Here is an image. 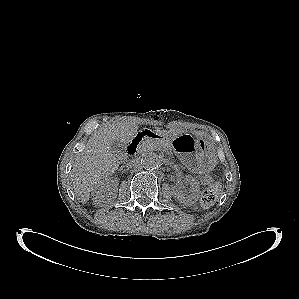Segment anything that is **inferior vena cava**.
Returning a JSON list of instances; mask_svg holds the SVG:
<instances>
[{
    "label": "inferior vena cava",
    "instance_id": "obj_1",
    "mask_svg": "<svg viewBox=\"0 0 299 299\" xmlns=\"http://www.w3.org/2000/svg\"><path fill=\"white\" fill-rule=\"evenodd\" d=\"M138 165V161L133 159V160H130L128 163H127V166L132 168V167H135Z\"/></svg>",
    "mask_w": 299,
    "mask_h": 299
}]
</instances>
